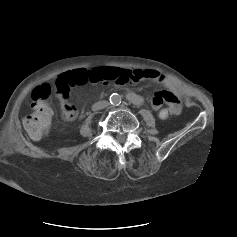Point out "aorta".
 Masks as SVG:
<instances>
[{"label":"aorta","mask_w":237,"mask_h":237,"mask_svg":"<svg viewBox=\"0 0 237 237\" xmlns=\"http://www.w3.org/2000/svg\"><path fill=\"white\" fill-rule=\"evenodd\" d=\"M109 100L112 105H119L121 103V96L117 93H113L111 94Z\"/></svg>","instance_id":"762f6f07"}]
</instances>
